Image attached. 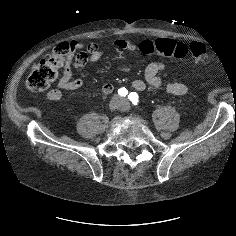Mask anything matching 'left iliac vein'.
<instances>
[{
	"instance_id": "4c4485c4",
	"label": "left iliac vein",
	"mask_w": 236,
	"mask_h": 236,
	"mask_svg": "<svg viewBox=\"0 0 236 236\" xmlns=\"http://www.w3.org/2000/svg\"><path fill=\"white\" fill-rule=\"evenodd\" d=\"M124 110H128V108L125 106V107H124Z\"/></svg>"
}]
</instances>
